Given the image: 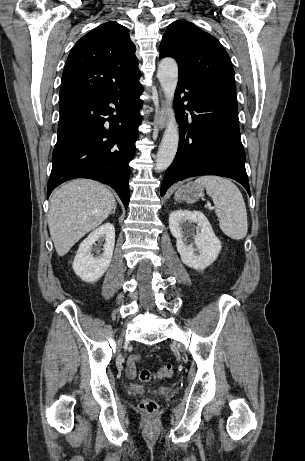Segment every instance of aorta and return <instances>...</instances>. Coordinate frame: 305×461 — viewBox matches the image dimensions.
Listing matches in <instances>:
<instances>
[{
    "label": "aorta",
    "mask_w": 305,
    "mask_h": 461,
    "mask_svg": "<svg viewBox=\"0 0 305 461\" xmlns=\"http://www.w3.org/2000/svg\"><path fill=\"white\" fill-rule=\"evenodd\" d=\"M157 77L168 103V123L156 158V169H167L174 160L179 142V130L173 110V98L178 82V66L174 59L164 58L158 66Z\"/></svg>",
    "instance_id": "1"
}]
</instances>
